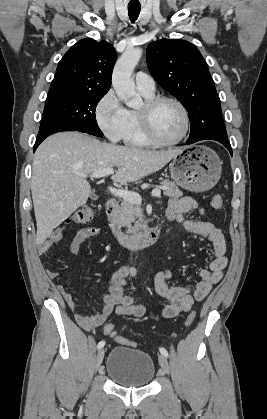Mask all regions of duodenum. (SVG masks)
I'll use <instances>...</instances> for the list:
<instances>
[{"label":"duodenum","mask_w":267,"mask_h":419,"mask_svg":"<svg viewBox=\"0 0 267 419\" xmlns=\"http://www.w3.org/2000/svg\"><path fill=\"white\" fill-rule=\"evenodd\" d=\"M118 207V200L116 198H111L106 202L105 211L109 220L110 229L120 244L131 248H138L153 245L160 239L162 227L159 225L153 226L135 235H129L123 232L121 228L114 222V215Z\"/></svg>","instance_id":"duodenum-1"}]
</instances>
